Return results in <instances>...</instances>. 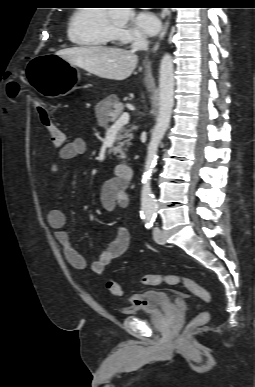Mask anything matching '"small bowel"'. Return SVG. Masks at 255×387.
I'll use <instances>...</instances> for the list:
<instances>
[{"instance_id": "1", "label": "small bowel", "mask_w": 255, "mask_h": 387, "mask_svg": "<svg viewBox=\"0 0 255 387\" xmlns=\"http://www.w3.org/2000/svg\"><path fill=\"white\" fill-rule=\"evenodd\" d=\"M87 150V143L83 138H75L58 150V157L63 161L76 159ZM57 165L50 166V173L56 174ZM127 183L119 178H111L106 181L101 189L100 201L104 209L113 211L116 207H124L128 204ZM47 221L54 230V235L60 244L67 262L76 269L87 268L86 259L76 250L70 235L65 230L66 217L62 210L51 209L47 214ZM130 246V233L127 228L120 226L116 229L114 239L103 250L98 259L91 263L90 270L95 274H101L105 268L115 259L126 253ZM138 297L131 299L132 304L139 303Z\"/></svg>"}]
</instances>
